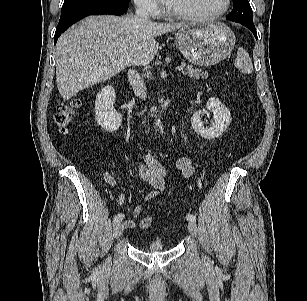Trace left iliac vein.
<instances>
[{"mask_svg": "<svg viewBox=\"0 0 307 301\" xmlns=\"http://www.w3.org/2000/svg\"><path fill=\"white\" fill-rule=\"evenodd\" d=\"M188 231H189L191 236L197 237L198 230H197V226H196L195 222L190 221L188 223Z\"/></svg>", "mask_w": 307, "mask_h": 301, "instance_id": "4c4485c4", "label": "left iliac vein"}]
</instances>
